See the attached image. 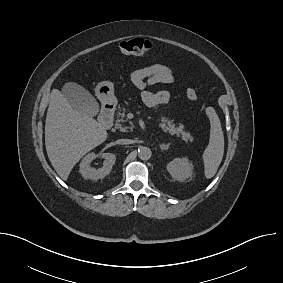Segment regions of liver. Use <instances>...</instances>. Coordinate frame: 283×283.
Returning <instances> with one entry per match:
<instances>
[{
  "label": "liver",
  "instance_id": "obj_1",
  "mask_svg": "<svg viewBox=\"0 0 283 283\" xmlns=\"http://www.w3.org/2000/svg\"><path fill=\"white\" fill-rule=\"evenodd\" d=\"M107 136V131L94 118L75 110L59 90H52L45 123V145L53 168L63 180H67L75 164Z\"/></svg>",
  "mask_w": 283,
  "mask_h": 283
}]
</instances>
